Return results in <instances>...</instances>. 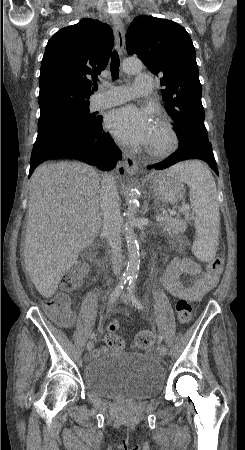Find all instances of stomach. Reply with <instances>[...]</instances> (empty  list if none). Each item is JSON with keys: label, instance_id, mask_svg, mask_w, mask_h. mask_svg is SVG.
Here are the masks:
<instances>
[{"label": "stomach", "instance_id": "0dacf381", "mask_svg": "<svg viewBox=\"0 0 245 450\" xmlns=\"http://www.w3.org/2000/svg\"><path fill=\"white\" fill-rule=\"evenodd\" d=\"M151 189L154 196L165 204H176L184 198V182L169 172H156L151 177Z\"/></svg>", "mask_w": 245, "mask_h": 450}]
</instances>
